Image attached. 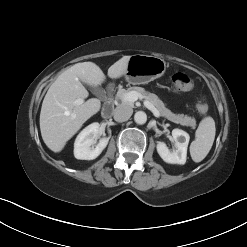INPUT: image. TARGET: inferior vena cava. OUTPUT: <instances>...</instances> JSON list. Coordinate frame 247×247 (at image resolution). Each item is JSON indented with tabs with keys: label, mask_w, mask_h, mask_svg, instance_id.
<instances>
[{
	"label": "inferior vena cava",
	"mask_w": 247,
	"mask_h": 247,
	"mask_svg": "<svg viewBox=\"0 0 247 247\" xmlns=\"http://www.w3.org/2000/svg\"><path fill=\"white\" fill-rule=\"evenodd\" d=\"M133 113V109L127 105L118 106L114 110V119L118 122L127 121Z\"/></svg>",
	"instance_id": "obj_1"
}]
</instances>
